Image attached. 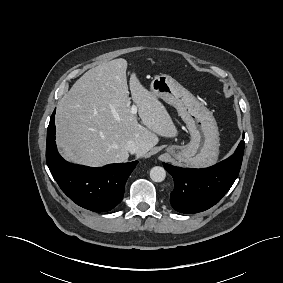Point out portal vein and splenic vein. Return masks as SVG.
I'll list each match as a JSON object with an SVG mask.
<instances>
[{
    "label": "portal vein and splenic vein",
    "instance_id": "portal-vein-and-splenic-vein-1",
    "mask_svg": "<svg viewBox=\"0 0 283 283\" xmlns=\"http://www.w3.org/2000/svg\"><path fill=\"white\" fill-rule=\"evenodd\" d=\"M137 112H138V107L133 104V105L131 106V113H132V114H136Z\"/></svg>",
    "mask_w": 283,
    "mask_h": 283
}]
</instances>
